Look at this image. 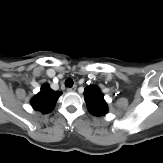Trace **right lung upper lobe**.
<instances>
[{
	"label": "right lung upper lobe",
	"mask_w": 163,
	"mask_h": 163,
	"mask_svg": "<svg viewBox=\"0 0 163 163\" xmlns=\"http://www.w3.org/2000/svg\"><path fill=\"white\" fill-rule=\"evenodd\" d=\"M62 92L53 91L48 84L41 87V91L35 95L31 101L32 107L46 114L53 110L59 96Z\"/></svg>",
	"instance_id": "obj_1"
}]
</instances>
